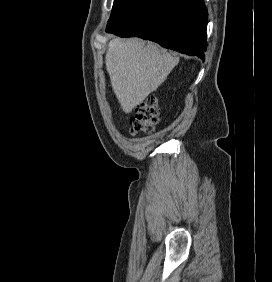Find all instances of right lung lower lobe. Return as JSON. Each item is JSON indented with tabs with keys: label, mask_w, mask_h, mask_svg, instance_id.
I'll return each mask as SVG.
<instances>
[{
	"label": "right lung lower lobe",
	"mask_w": 272,
	"mask_h": 282,
	"mask_svg": "<svg viewBox=\"0 0 272 282\" xmlns=\"http://www.w3.org/2000/svg\"><path fill=\"white\" fill-rule=\"evenodd\" d=\"M207 17L203 0H138L106 32L141 37L204 59Z\"/></svg>",
	"instance_id": "98d812e1"
}]
</instances>
